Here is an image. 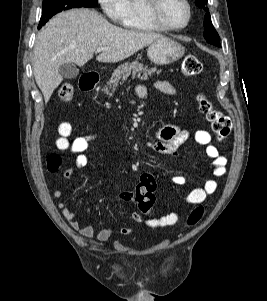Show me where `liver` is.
I'll use <instances>...</instances> for the list:
<instances>
[{
	"instance_id": "6515ba94",
	"label": "liver",
	"mask_w": 267,
	"mask_h": 301,
	"mask_svg": "<svg viewBox=\"0 0 267 301\" xmlns=\"http://www.w3.org/2000/svg\"><path fill=\"white\" fill-rule=\"evenodd\" d=\"M163 36L153 32L122 29L94 10L72 9L53 17L42 29L33 50V73L45 102L63 81L64 63L84 66L98 47H106L97 61H122Z\"/></svg>"
}]
</instances>
